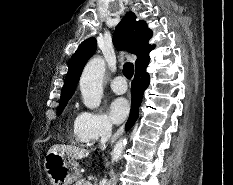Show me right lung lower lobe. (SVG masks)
I'll list each match as a JSON object with an SVG mask.
<instances>
[{"instance_id":"98d812e1","label":"right lung lower lobe","mask_w":233,"mask_h":185,"mask_svg":"<svg viewBox=\"0 0 233 185\" xmlns=\"http://www.w3.org/2000/svg\"><path fill=\"white\" fill-rule=\"evenodd\" d=\"M146 67L139 68L135 71V77L131 84L132 103L130 116L126 124L127 130L136 122L139 116V106L142 101L143 92L149 86L150 76L146 72Z\"/></svg>"}]
</instances>
